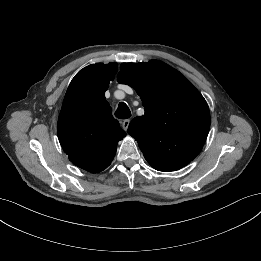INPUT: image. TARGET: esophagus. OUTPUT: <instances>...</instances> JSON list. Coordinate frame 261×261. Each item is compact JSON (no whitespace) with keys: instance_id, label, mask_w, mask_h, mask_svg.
<instances>
[{"instance_id":"esophagus-1","label":"esophagus","mask_w":261,"mask_h":261,"mask_svg":"<svg viewBox=\"0 0 261 261\" xmlns=\"http://www.w3.org/2000/svg\"><path fill=\"white\" fill-rule=\"evenodd\" d=\"M129 124H130V119L123 120L122 127L125 131H127Z\"/></svg>"}]
</instances>
